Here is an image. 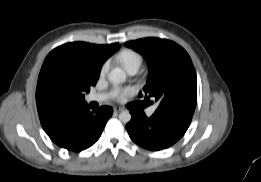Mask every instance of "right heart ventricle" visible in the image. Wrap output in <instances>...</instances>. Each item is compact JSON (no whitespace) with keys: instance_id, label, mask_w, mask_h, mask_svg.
Masks as SVG:
<instances>
[{"instance_id":"right-heart-ventricle-1","label":"right heart ventricle","mask_w":261,"mask_h":182,"mask_svg":"<svg viewBox=\"0 0 261 182\" xmlns=\"http://www.w3.org/2000/svg\"><path fill=\"white\" fill-rule=\"evenodd\" d=\"M123 67L128 70L131 68H140L142 64V56L134 50H125L119 56Z\"/></svg>"}]
</instances>
